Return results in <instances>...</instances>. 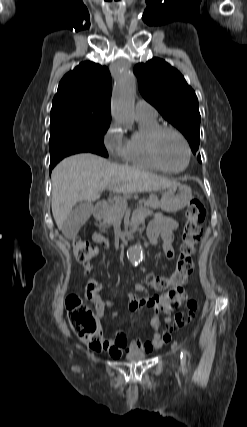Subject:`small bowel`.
Instances as JSON below:
<instances>
[{
    "label": "small bowel",
    "instance_id": "1",
    "mask_svg": "<svg viewBox=\"0 0 247 427\" xmlns=\"http://www.w3.org/2000/svg\"><path fill=\"white\" fill-rule=\"evenodd\" d=\"M178 228V223L167 216L156 215L150 222L146 235L153 244H157L161 240L162 250L166 258L172 259L174 251L172 244L174 242V233ZM93 240L96 243H103L104 238L100 234H94ZM85 274L90 275L93 272L91 263L84 264ZM135 289L142 294V297H137L134 294H129L127 299L128 307L133 312H140L144 308L151 310V327L154 330L150 340H133L129 342L127 336L122 329H118L114 335L108 339L107 346L103 350H107L111 356L119 357L124 351L139 350L143 352H152L161 348L170 341V332L165 330L159 331L161 325V315H165V321L171 320V312L178 309L181 304L187 299L188 295L183 287L173 288L169 292L160 296H149L147 289L141 284H135ZM85 299L94 305L96 315L99 318L104 316L105 310L111 307L113 303L106 300L101 292V284L93 277L89 278L84 284ZM116 314H113L115 317Z\"/></svg>",
    "mask_w": 247,
    "mask_h": 427
}]
</instances>
